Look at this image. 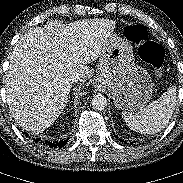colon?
Listing matches in <instances>:
<instances>
[{
	"label": "colon",
	"instance_id": "1",
	"mask_svg": "<svg viewBox=\"0 0 183 183\" xmlns=\"http://www.w3.org/2000/svg\"><path fill=\"white\" fill-rule=\"evenodd\" d=\"M124 33L126 38L137 47L141 59L150 64L156 73H160L165 51L160 44L149 39L147 29L142 25H131L126 27Z\"/></svg>",
	"mask_w": 183,
	"mask_h": 183
}]
</instances>
